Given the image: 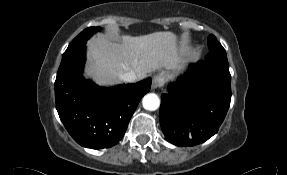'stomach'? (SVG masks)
<instances>
[{
	"mask_svg": "<svg viewBox=\"0 0 287 175\" xmlns=\"http://www.w3.org/2000/svg\"><path fill=\"white\" fill-rule=\"evenodd\" d=\"M184 61H181L180 63H178L177 65H175L171 70H166L164 71L162 74L165 76L166 79H170L173 74L175 73L176 70H179L181 68V64L183 63Z\"/></svg>",
	"mask_w": 287,
	"mask_h": 175,
	"instance_id": "0dacf381",
	"label": "stomach"
}]
</instances>
